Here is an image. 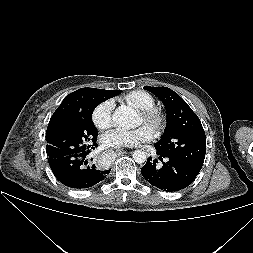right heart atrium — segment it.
Returning a JSON list of instances; mask_svg holds the SVG:
<instances>
[{"label": "right heart atrium", "instance_id": "d8ad5b80", "mask_svg": "<svg viewBox=\"0 0 253 253\" xmlns=\"http://www.w3.org/2000/svg\"><path fill=\"white\" fill-rule=\"evenodd\" d=\"M113 108V100H104L94 108L92 120L98 129L103 130L111 126Z\"/></svg>", "mask_w": 253, "mask_h": 253}]
</instances>
